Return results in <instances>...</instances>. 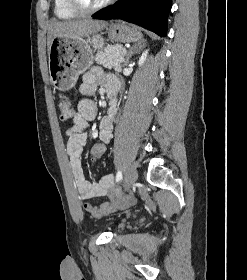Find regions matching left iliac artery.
<instances>
[{
	"label": "left iliac artery",
	"mask_w": 247,
	"mask_h": 280,
	"mask_svg": "<svg viewBox=\"0 0 247 280\" xmlns=\"http://www.w3.org/2000/svg\"><path fill=\"white\" fill-rule=\"evenodd\" d=\"M122 179V172L118 171L116 175V182H119Z\"/></svg>",
	"instance_id": "44dca946"
}]
</instances>
